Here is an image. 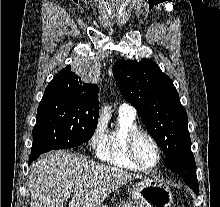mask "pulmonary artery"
Returning a JSON list of instances; mask_svg holds the SVG:
<instances>
[{"mask_svg": "<svg viewBox=\"0 0 220 207\" xmlns=\"http://www.w3.org/2000/svg\"><path fill=\"white\" fill-rule=\"evenodd\" d=\"M119 112L127 113V114H130V115H133V116L136 115L135 108L133 106H131L130 104H128V103H122L119 107Z\"/></svg>", "mask_w": 220, "mask_h": 207, "instance_id": "obj_1", "label": "pulmonary artery"}]
</instances>
